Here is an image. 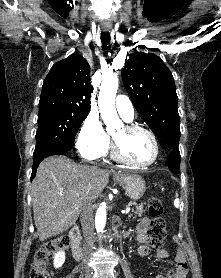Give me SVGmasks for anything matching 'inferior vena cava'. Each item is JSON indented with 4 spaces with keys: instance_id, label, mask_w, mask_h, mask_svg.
Here are the masks:
<instances>
[{
    "instance_id": "inferior-vena-cava-1",
    "label": "inferior vena cava",
    "mask_w": 221,
    "mask_h": 278,
    "mask_svg": "<svg viewBox=\"0 0 221 278\" xmlns=\"http://www.w3.org/2000/svg\"><path fill=\"white\" fill-rule=\"evenodd\" d=\"M92 202L86 201L81 207L80 222L84 236L83 251L87 257L91 254L94 248V220H93Z\"/></svg>"
}]
</instances>
